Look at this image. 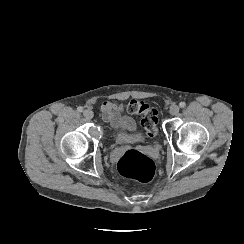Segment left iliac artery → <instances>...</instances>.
<instances>
[{"label":"left iliac artery","mask_w":244,"mask_h":244,"mask_svg":"<svg viewBox=\"0 0 244 244\" xmlns=\"http://www.w3.org/2000/svg\"><path fill=\"white\" fill-rule=\"evenodd\" d=\"M179 106H180L181 108H184V107L186 106V103H185V102H180Z\"/></svg>","instance_id":"1"}]
</instances>
